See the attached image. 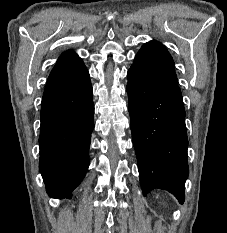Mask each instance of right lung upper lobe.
Returning <instances> with one entry per match:
<instances>
[{"label": "right lung upper lobe", "mask_w": 227, "mask_h": 233, "mask_svg": "<svg viewBox=\"0 0 227 233\" xmlns=\"http://www.w3.org/2000/svg\"><path fill=\"white\" fill-rule=\"evenodd\" d=\"M87 80L89 73L82 59L73 51L62 53L48 77L41 106L70 93Z\"/></svg>", "instance_id": "right-lung-upper-lobe-1"}]
</instances>
